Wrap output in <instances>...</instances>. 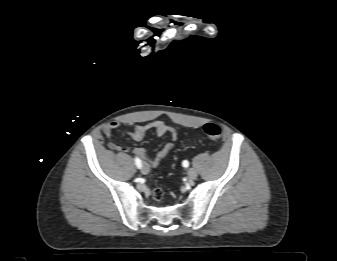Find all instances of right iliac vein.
<instances>
[{"label": "right iliac vein", "mask_w": 337, "mask_h": 261, "mask_svg": "<svg viewBox=\"0 0 337 261\" xmlns=\"http://www.w3.org/2000/svg\"><path fill=\"white\" fill-rule=\"evenodd\" d=\"M149 167H148V165H146V164H144L143 166H142V168H141V172H142V174H148L149 173Z\"/></svg>", "instance_id": "63e3f726"}]
</instances>
